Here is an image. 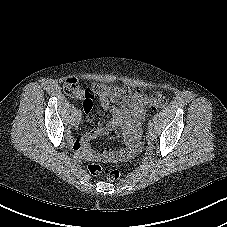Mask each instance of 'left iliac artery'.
<instances>
[{"instance_id": "obj_1", "label": "left iliac artery", "mask_w": 227, "mask_h": 227, "mask_svg": "<svg viewBox=\"0 0 227 227\" xmlns=\"http://www.w3.org/2000/svg\"><path fill=\"white\" fill-rule=\"evenodd\" d=\"M147 125H148V128H152L153 122L150 120Z\"/></svg>"}]
</instances>
